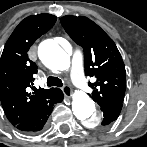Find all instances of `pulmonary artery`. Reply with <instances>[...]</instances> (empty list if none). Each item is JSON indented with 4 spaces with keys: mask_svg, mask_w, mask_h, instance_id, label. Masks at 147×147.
I'll return each mask as SVG.
<instances>
[{
    "mask_svg": "<svg viewBox=\"0 0 147 147\" xmlns=\"http://www.w3.org/2000/svg\"><path fill=\"white\" fill-rule=\"evenodd\" d=\"M71 76L72 81L77 88L83 89L85 87V77L82 70V59L78 52H75L73 56Z\"/></svg>",
    "mask_w": 147,
    "mask_h": 147,
    "instance_id": "obj_1",
    "label": "pulmonary artery"
}]
</instances>
